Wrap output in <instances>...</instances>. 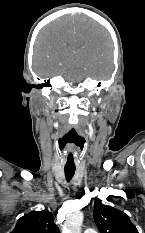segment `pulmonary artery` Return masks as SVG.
I'll return each mask as SVG.
<instances>
[{
  "instance_id": "obj_1",
  "label": "pulmonary artery",
  "mask_w": 145,
  "mask_h": 233,
  "mask_svg": "<svg viewBox=\"0 0 145 233\" xmlns=\"http://www.w3.org/2000/svg\"><path fill=\"white\" fill-rule=\"evenodd\" d=\"M84 233H97V231L94 228H88L84 231Z\"/></svg>"
}]
</instances>
